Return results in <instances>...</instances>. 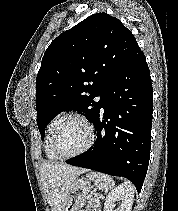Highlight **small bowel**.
<instances>
[{
    "mask_svg": "<svg viewBox=\"0 0 178 211\" xmlns=\"http://www.w3.org/2000/svg\"><path fill=\"white\" fill-rule=\"evenodd\" d=\"M99 209H100L99 205H96L94 208H86L81 211H100Z\"/></svg>",
    "mask_w": 178,
    "mask_h": 211,
    "instance_id": "1",
    "label": "small bowel"
}]
</instances>
